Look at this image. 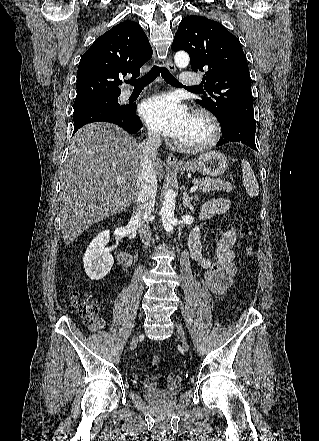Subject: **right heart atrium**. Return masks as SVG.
I'll return each instance as SVG.
<instances>
[{
    "label": "right heart atrium",
    "instance_id": "1",
    "mask_svg": "<svg viewBox=\"0 0 319 441\" xmlns=\"http://www.w3.org/2000/svg\"><path fill=\"white\" fill-rule=\"evenodd\" d=\"M148 137L151 139V140H158V135L155 133V132H153V131H149L148 132Z\"/></svg>",
    "mask_w": 319,
    "mask_h": 441
}]
</instances>
